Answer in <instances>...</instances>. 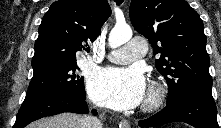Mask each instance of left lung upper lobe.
<instances>
[{
  "label": "left lung upper lobe",
  "mask_w": 221,
  "mask_h": 128,
  "mask_svg": "<svg viewBox=\"0 0 221 128\" xmlns=\"http://www.w3.org/2000/svg\"><path fill=\"white\" fill-rule=\"evenodd\" d=\"M134 28L153 46L157 70L168 87L166 105L185 96L210 93L212 78L206 36L198 13L184 0H132L129 10Z\"/></svg>",
  "instance_id": "5c2ea615"
}]
</instances>
